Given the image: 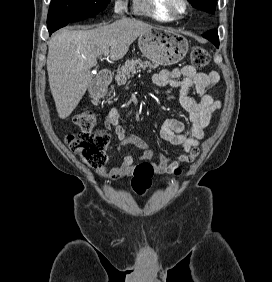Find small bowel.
Instances as JSON below:
<instances>
[{"label": "small bowel", "instance_id": "small-bowel-1", "mask_svg": "<svg viewBox=\"0 0 272 282\" xmlns=\"http://www.w3.org/2000/svg\"><path fill=\"white\" fill-rule=\"evenodd\" d=\"M219 80L217 72H199L194 66L186 65L180 68L163 69L153 76L157 86L171 85L179 88V102L188 113L191 125L186 128L176 118L164 119L160 137L175 146L180 147L177 156L160 154L156 160H151L152 151L141 139L128 137L120 125V111L112 110L105 122V128H113L118 140V147L135 145L143 151L141 160L148 161L156 173L170 172L181 164L192 162L198 155V145L205 136V129L209 126L212 115L221 107V102L214 99L211 92ZM194 89L199 95V101L194 100L189 92ZM135 159L132 155H125L121 162L111 167L96 169L95 173L107 181H115L129 175L134 170Z\"/></svg>", "mask_w": 272, "mask_h": 282}]
</instances>
